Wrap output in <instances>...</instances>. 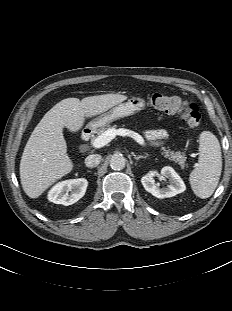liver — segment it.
<instances>
[{
	"label": "liver",
	"instance_id": "obj_1",
	"mask_svg": "<svg viewBox=\"0 0 232 311\" xmlns=\"http://www.w3.org/2000/svg\"><path fill=\"white\" fill-rule=\"evenodd\" d=\"M127 96L104 94L66 98L54 105L33 130L20 161V179L24 192L38 198L57 180L70 173L73 162L67 154L63 128L80 130L85 118L106 112L122 103Z\"/></svg>",
	"mask_w": 232,
	"mask_h": 311
}]
</instances>
